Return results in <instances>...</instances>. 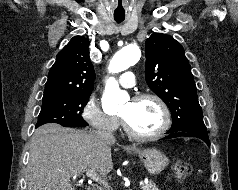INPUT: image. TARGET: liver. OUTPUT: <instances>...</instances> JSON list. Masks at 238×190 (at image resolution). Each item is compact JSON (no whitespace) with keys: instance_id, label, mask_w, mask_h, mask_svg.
<instances>
[{"instance_id":"1","label":"liver","mask_w":238,"mask_h":190,"mask_svg":"<svg viewBox=\"0 0 238 190\" xmlns=\"http://www.w3.org/2000/svg\"><path fill=\"white\" fill-rule=\"evenodd\" d=\"M114 143L54 123L37 128L30 141L27 190H74L73 176L88 170L107 175L113 169Z\"/></svg>"}]
</instances>
